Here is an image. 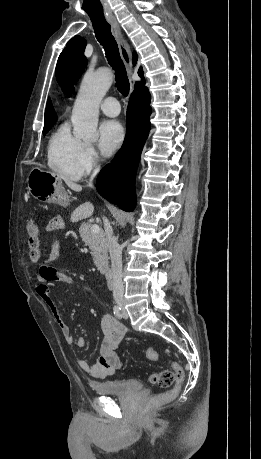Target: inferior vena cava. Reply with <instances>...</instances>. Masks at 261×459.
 <instances>
[{
    "mask_svg": "<svg viewBox=\"0 0 261 459\" xmlns=\"http://www.w3.org/2000/svg\"><path fill=\"white\" fill-rule=\"evenodd\" d=\"M99 167H96L90 178L89 185L92 186V181L97 175ZM104 228L106 232L107 246L110 252L111 258V273H112V286H113V297L116 303H121L124 296V285L122 282V253L116 239L113 236L112 227L107 218H103Z\"/></svg>",
    "mask_w": 261,
    "mask_h": 459,
    "instance_id": "obj_1",
    "label": "inferior vena cava"
}]
</instances>
